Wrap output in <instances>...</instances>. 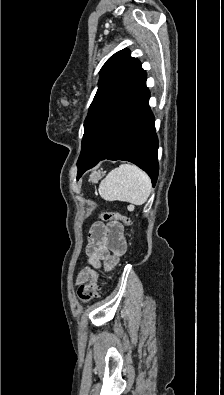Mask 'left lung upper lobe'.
Here are the masks:
<instances>
[{"label": "left lung upper lobe", "mask_w": 224, "mask_h": 395, "mask_svg": "<svg viewBox=\"0 0 224 395\" xmlns=\"http://www.w3.org/2000/svg\"><path fill=\"white\" fill-rule=\"evenodd\" d=\"M141 63L123 49L111 56L101 69L99 87L84 122L82 150L99 111L142 72ZM81 155V154H80Z\"/></svg>", "instance_id": "5c2ea615"}]
</instances>
